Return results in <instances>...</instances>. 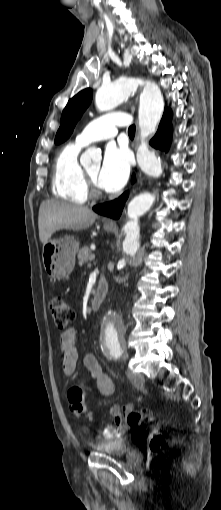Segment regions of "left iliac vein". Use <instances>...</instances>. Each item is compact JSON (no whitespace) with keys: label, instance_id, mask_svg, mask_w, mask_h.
<instances>
[{"label":"left iliac vein","instance_id":"1","mask_svg":"<svg viewBox=\"0 0 221 510\" xmlns=\"http://www.w3.org/2000/svg\"><path fill=\"white\" fill-rule=\"evenodd\" d=\"M123 357H125V353L123 354ZM127 376L129 380L136 386L141 387L144 384V376L141 373L133 372L132 370H127Z\"/></svg>","mask_w":221,"mask_h":510}]
</instances>
